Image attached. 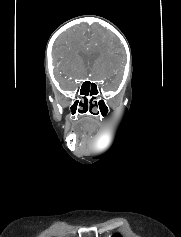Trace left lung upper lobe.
<instances>
[{
	"label": "left lung upper lobe",
	"mask_w": 181,
	"mask_h": 237,
	"mask_svg": "<svg viewBox=\"0 0 181 237\" xmlns=\"http://www.w3.org/2000/svg\"><path fill=\"white\" fill-rule=\"evenodd\" d=\"M112 237H122L120 234H114Z\"/></svg>",
	"instance_id": "1"
}]
</instances>
